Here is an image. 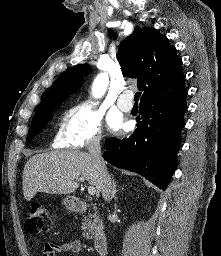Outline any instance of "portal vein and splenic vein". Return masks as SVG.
Returning a JSON list of instances; mask_svg holds the SVG:
<instances>
[{"label": "portal vein and splenic vein", "mask_w": 221, "mask_h": 256, "mask_svg": "<svg viewBox=\"0 0 221 256\" xmlns=\"http://www.w3.org/2000/svg\"><path fill=\"white\" fill-rule=\"evenodd\" d=\"M78 181L84 182V179L81 178V179H79ZM87 190H88V193H89L90 195H95V194H96V188H95L94 186H89V187H87Z\"/></svg>", "instance_id": "18ae733b"}]
</instances>
